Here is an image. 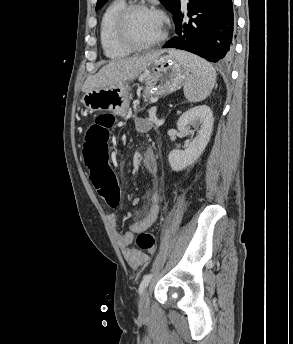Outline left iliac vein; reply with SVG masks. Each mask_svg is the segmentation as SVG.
Listing matches in <instances>:
<instances>
[{"mask_svg":"<svg viewBox=\"0 0 293 344\" xmlns=\"http://www.w3.org/2000/svg\"><path fill=\"white\" fill-rule=\"evenodd\" d=\"M150 299L149 293L145 290L139 300V315L141 317H146L149 314Z\"/></svg>","mask_w":293,"mask_h":344,"instance_id":"1","label":"left iliac vein"}]
</instances>
